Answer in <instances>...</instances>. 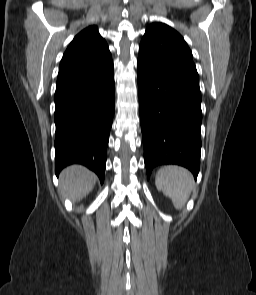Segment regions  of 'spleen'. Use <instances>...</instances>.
I'll use <instances>...</instances> for the list:
<instances>
[{"instance_id": "spleen-1", "label": "spleen", "mask_w": 256, "mask_h": 295, "mask_svg": "<svg viewBox=\"0 0 256 295\" xmlns=\"http://www.w3.org/2000/svg\"><path fill=\"white\" fill-rule=\"evenodd\" d=\"M155 185L165 196L171 198L173 205L179 210L189 198L194 180L185 168L170 165L158 170Z\"/></svg>"}]
</instances>
